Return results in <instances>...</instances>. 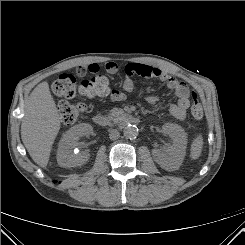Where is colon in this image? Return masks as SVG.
Wrapping results in <instances>:
<instances>
[{"instance_id":"5ec220e1","label":"colon","mask_w":245,"mask_h":245,"mask_svg":"<svg viewBox=\"0 0 245 245\" xmlns=\"http://www.w3.org/2000/svg\"><path fill=\"white\" fill-rule=\"evenodd\" d=\"M53 92L62 99L58 106L62 123L73 124L85 110L83 104L68 101L76 93L75 77L71 74L60 75L53 84ZM79 92L86 97L107 95L110 92L109 80L103 75L94 76L81 83ZM192 115L195 119H201L203 116V109L195 91L192 92Z\"/></svg>"}]
</instances>
